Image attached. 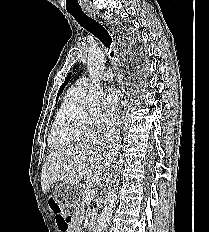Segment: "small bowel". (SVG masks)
<instances>
[{
	"label": "small bowel",
	"instance_id": "c3829d8e",
	"mask_svg": "<svg viewBox=\"0 0 209 232\" xmlns=\"http://www.w3.org/2000/svg\"><path fill=\"white\" fill-rule=\"evenodd\" d=\"M81 228V216L80 213H75L74 217L72 218L71 222L68 224V226L64 230L65 232H80Z\"/></svg>",
	"mask_w": 209,
	"mask_h": 232
}]
</instances>
